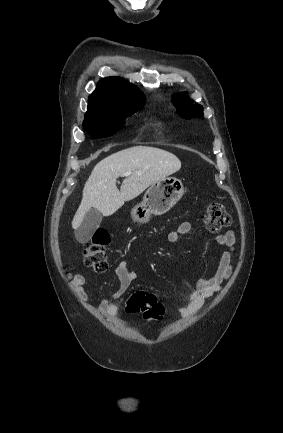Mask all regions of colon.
<instances>
[{"label":"colon","mask_w":283,"mask_h":433,"mask_svg":"<svg viewBox=\"0 0 283 433\" xmlns=\"http://www.w3.org/2000/svg\"><path fill=\"white\" fill-rule=\"evenodd\" d=\"M205 227L211 232H218L231 224V217L222 204L210 202L207 204L203 217ZM109 237L106 233H97L89 241L83 252V261L86 266L97 272L108 269L106 247ZM127 313L141 314L147 320L160 321L164 315V307L154 294L138 291L132 294L126 302Z\"/></svg>","instance_id":"1"}]
</instances>
